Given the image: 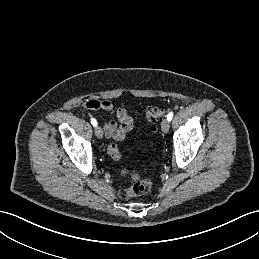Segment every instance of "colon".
Returning a JSON list of instances; mask_svg holds the SVG:
<instances>
[{"instance_id":"1","label":"colon","mask_w":259,"mask_h":259,"mask_svg":"<svg viewBox=\"0 0 259 259\" xmlns=\"http://www.w3.org/2000/svg\"><path fill=\"white\" fill-rule=\"evenodd\" d=\"M166 110L164 107L154 106L147 109L145 116L152 128L164 117ZM108 157L113 164H117L121 160V153L117 145L112 144L107 149ZM121 174H129L133 180V184L129 188L122 189L120 196L124 199L133 196H141L146 194L151 187V181L137 172L128 173L126 170H121Z\"/></svg>"}]
</instances>
